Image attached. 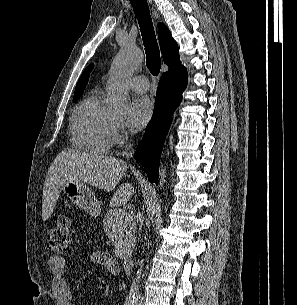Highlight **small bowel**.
I'll list each match as a JSON object with an SVG mask.
<instances>
[{
	"label": "small bowel",
	"mask_w": 297,
	"mask_h": 305,
	"mask_svg": "<svg viewBox=\"0 0 297 305\" xmlns=\"http://www.w3.org/2000/svg\"><path fill=\"white\" fill-rule=\"evenodd\" d=\"M91 261L103 265L112 275L119 273L116 260L108 253L96 251L91 255ZM48 265L52 274L51 288L60 305H76L71 287L65 277V260L60 256H50Z\"/></svg>",
	"instance_id": "c3829d8e"
}]
</instances>
